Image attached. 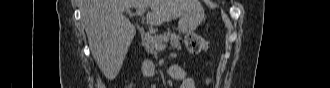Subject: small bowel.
I'll return each mask as SVG.
<instances>
[{
	"instance_id": "obj_1",
	"label": "small bowel",
	"mask_w": 330,
	"mask_h": 88,
	"mask_svg": "<svg viewBox=\"0 0 330 88\" xmlns=\"http://www.w3.org/2000/svg\"><path fill=\"white\" fill-rule=\"evenodd\" d=\"M169 78L179 81L180 88H195L194 80L188 75L186 69L180 65H171L166 69Z\"/></svg>"
}]
</instances>
